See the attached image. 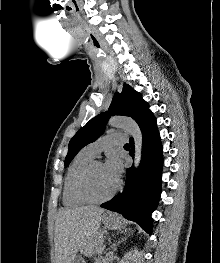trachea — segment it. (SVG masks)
Masks as SVG:
<instances>
[{
  "mask_svg": "<svg viewBox=\"0 0 220 263\" xmlns=\"http://www.w3.org/2000/svg\"><path fill=\"white\" fill-rule=\"evenodd\" d=\"M124 147H129V144H128V143H127V144H125V145H124Z\"/></svg>",
  "mask_w": 220,
  "mask_h": 263,
  "instance_id": "obj_1",
  "label": "trachea"
}]
</instances>
